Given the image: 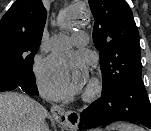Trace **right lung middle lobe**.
Masks as SVG:
<instances>
[{
  "label": "right lung middle lobe",
  "instance_id": "dd1d6c3e",
  "mask_svg": "<svg viewBox=\"0 0 151 131\" xmlns=\"http://www.w3.org/2000/svg\"><path fill=\"white\" fill-rule=\"evenodd\" d=\"M34 55L22 49L0 53V76L10 82H18L33 77Z\"/></svg>",
  "mask_w": 151,
  "mask_h": 131
}]
</instances>
